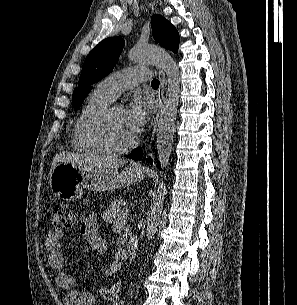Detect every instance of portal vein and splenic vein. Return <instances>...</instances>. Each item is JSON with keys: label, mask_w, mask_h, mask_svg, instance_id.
I'll return each instance as SVG.
<instances>
[{"label": "portal vein and splenic vein", "mask_w": 297, "mask_h": 305, "mask_svg": "<svg viewBox=\"0 0 297 305\" xmlns=\"http://www.w3.org/2000/svg\"><path fill=\"white\" fill-rule=\"evenodd\" d=\"M128 212H129V210L126 209V210H125V213H124V216H127Z\"/></svg>", "instance_id": "18ae733b"}]
</instances>
